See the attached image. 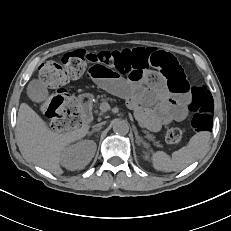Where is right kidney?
<instances>
[{
    "mask_svg": "<svg viewBox=\"0 0 231 231\" xmlns=\"http://www.w3.org/2000/svg\"><path fill=\"white\" fill-rule=\"evenodd\" d=\"M96 143L84 140L66 148L61 155V164L68 170L83 169L94 157Z\"/></svg>",
    "mask_w": 231,
    "mask_h": 231,
    "instance_id": "obj_1",
    "label": "right kidney"
}]
</instances>
